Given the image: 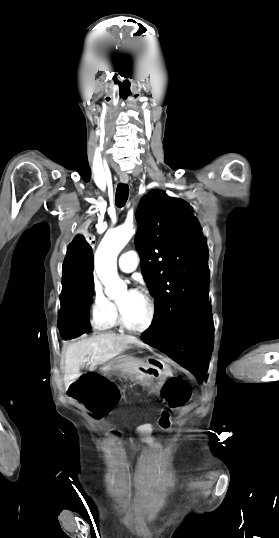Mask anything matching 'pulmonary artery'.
<instances>
[{
  "instance_id": "1",
  "label": "pulmonary artery",
  "mask_w": 279,
  "mask_h": 538,
  "mask_svg": "<svg viewBox=\"0 0 279 538\" xmlns=\"http://www.w3.org/2000/svg\"><path fill=\"white\" fill-rule=\"evenodd\" d=\"M118 266L122 272L130 273L136 269V261L131 257L130 252H124L118 259Z\"/></svg>"
}]
</instances>
